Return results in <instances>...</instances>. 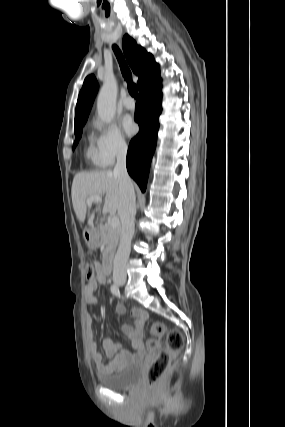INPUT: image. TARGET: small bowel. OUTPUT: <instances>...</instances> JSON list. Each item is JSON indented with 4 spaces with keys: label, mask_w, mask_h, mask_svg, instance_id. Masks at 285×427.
<instances>
[{
    "label": "small bowel",
    "mask_w": 285,
    "mask_h": 427,
    "mask_svg": "<svg viewBox=\"0 0 285 427\" xmlns=\"http://www.w3.org/2000/svg\"><path fill=\"white\" fill-rule=\"evenodd\" d=\"M96 277L88 282L84 287V297L88 305L92 307L98 306V298L94 295L99 284L106 282L107 270L105 265L99 262L95 263ZM115 310L119 315L125 314V307L117 303ZM132 316L134 317V326L125 324L121 328L122 334L132 342L134 352H130L122 347L116 339L108 337L103 341V347L107 356L111 359L108 364L102 362V354L98 349L97 343L92 332V320L89 315L86 316V332L89 341V350L93 362L100 371H113L140 360L145 355L142 340V328L148 317L147 312L141 308H133Z\"/></svg>",
    "instance_id": "c3829d8e"
}]
</instances>
